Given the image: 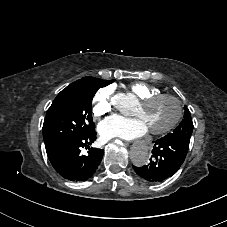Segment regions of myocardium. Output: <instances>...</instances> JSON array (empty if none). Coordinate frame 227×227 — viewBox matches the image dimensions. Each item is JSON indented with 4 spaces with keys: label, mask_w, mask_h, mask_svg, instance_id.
<instances>
[{
    "label": "myocardium",
    "mask_w": 227,
    "mask_h": 227,
    "mask_svg": "<svg viewBox=\"0 0 227 227\" xmlns=\"http://www.w3.org/2000/svg\"><path fill=\"white\" fill-rule=\"evenodd\" d=\"M163 98H168L171 101L174 102L175 106H176V114L173 118V120L163 129H150V133L154 134V135H162L165 134L171 130H173L181 121L182 117H183V113H184V108H183V104L180 101V99L178 97H176L175 95L172 94H168V93H158V94H154V95H149L146 96L144 98L140 99V107H146L149 106L153 103H155L156 101L163 99Z\"/></svg>",
    "instance_id": "obj_1"
}]
</instances>
